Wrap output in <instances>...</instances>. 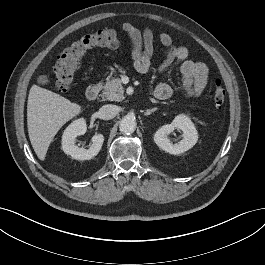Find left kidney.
I'll use <instances>...</instances> for the list:
<instances>
[{"label":"left kidney","mask_w":265,"mask_h":265,"mask_svg":"<svg viewBox=\"0 0 265 265\" xmlns=\"http://www.w3.org/2000/svg\"><path fill=\"white\" fill-rule=\"evenodd\" d=\"M175 129H180L183 132V138L180 142L173 144L168 136ZM154 141L159 148L170 154H181L197 143L198 132L190 118L180 114L174 118L171 124H166L158 129L154 135Z\"/></svg>","instance_id":"5707ae66"}]
</instances>
